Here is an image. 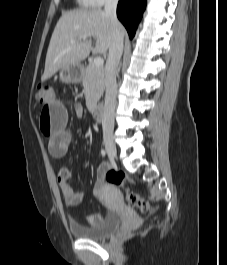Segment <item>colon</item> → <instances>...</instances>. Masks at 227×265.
I'll list each match as a JSON object with an SVG mask.
<instances>
[{"label": "colon", "mask_w": 227, "mask_h": 265, "mask_svg": "<svg viewBox=\"0 0 227 265\" xmlns=\"http://www.w3.org/2000/svg\"><path fill=\"white\" fill-rule=\"evenodd\" d=\"M53 95V91L48 85L40 84L37 86L36 97L40 103V110L43 109L44 102H49ZM105 179L109 184L121 187L125 190L126 201L130 206L136 207L142 212L148 211V201L145 198L129 191L125 187L126 182L131 179L123 172L118 170H109L105 174Z\"/></svg>", "instance_id": "1"}]
</instances>
